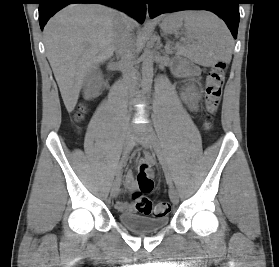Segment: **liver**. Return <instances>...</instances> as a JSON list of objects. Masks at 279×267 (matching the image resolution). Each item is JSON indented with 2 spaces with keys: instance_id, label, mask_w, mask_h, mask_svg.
Instances as JSON below:
<instances>
[{
  "instance_id": "obj_1",
  "label": "liver",
  "mask_w": 279,
  "mask_h": 267,
  "mask_svg": "<svg viewBox=\"0 0 279 267\" xmlns=\"http://www.w3.org/2000/svg\"><path fill=\"white\" fill-rule=\"evenodd\" d=\"M123 14L99 4H73L44 28L47 58L67 111L74 110L86 76L113 56L114 30ZM130 28L134 21L128 18Z\"/></svg>"
}]
</instances>
